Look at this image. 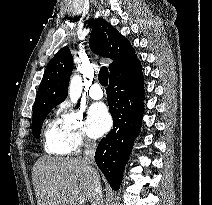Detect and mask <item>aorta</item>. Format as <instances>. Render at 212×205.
I'll return each instance as SVG.
<instances>
[{
	"label": "aorta",
	"mask_w": 212,
	"mask_h": 205,
	"mask_svg": "<svg viewBox=\"0 0 212 205\" xmlns=\"http://www.w3.org/2000/svg\"><path fill=\"white\" fill-rule=\"evenodd\" d=\"M82 79L79 75H74L69 84V97L71 102L76 103L82 93Z\"/></svg>",
	"instance_id": "obj_1"
}]
</instances>
